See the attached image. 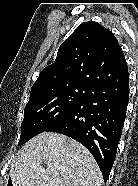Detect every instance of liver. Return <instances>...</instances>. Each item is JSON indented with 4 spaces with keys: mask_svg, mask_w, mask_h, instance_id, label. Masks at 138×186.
<instances>
[{
    "mask_svg": "<svg viewBox=\"0 0 138 186\" xmlns=\"http://www.w3.org/2000/svg\"><path fill=\"white\" fill-rule=\"evenodd\" d=\"M47 162V168L42 162ZM13 186H101L91 153L65 135L43 132L29 140L11 166Z\"/></svg>",
    "mask_w": 138,
    "mask_h": 186,
    "instance_id": "obj_1",
    "label": "liver"
}]
</instances>
